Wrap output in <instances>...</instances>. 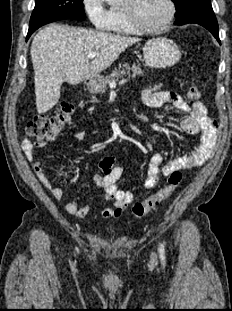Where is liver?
Returning <instances> with one entry per match:
<instances>
[{"label": "liver", "instance_id": "1", "mask_svg": "<svg viewBox=\"0 0 232 311\" xmlns=\"http://www.w3.org/2000/svg\"><path fill=\"white\" fill-rule=\"evenodd\" d=\"M139 38L52 24L41 29L31 45L36 108L50 110L60 98L63 82L77 85L107 69ZM96 52L89 63L88 54Z\"/></svg>", "mask_w": 232, "mask_h": 311}]
</instances>
